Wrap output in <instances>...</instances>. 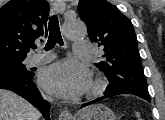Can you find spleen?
<instances>
[{
    "mask_svg": "<svg viewBox=\"0 0 165 120\" xmlns=\"http://www.w3.org/2000/svg\"><path fill=\"white\" fill-rule=\"evenodd\" d=\"M136 117H138V119L140 120V114L138 112L135 113Z\"/></svg>",
    "mask_w": 165,
    "mask_h": 120,
    "instance_id": "1",
    "label": "spleen"
}]
</instances>
